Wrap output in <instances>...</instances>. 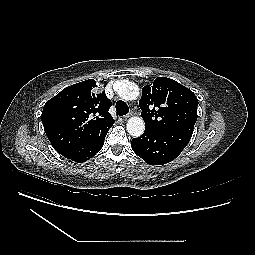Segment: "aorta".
Returning <instances> with one entry per match:
<instances>
[{
    "label": "aorta",
    "instance_id": "1",
    "mask_svg": "<svg viewBox=\"0 0 255 255\" xmlns=\"http://www.w3.org/2000/svg\"><path fill=\"white\" fill-rule=\"evenodd\" d=\"M116 91L124 100H135L139 96V87L128 80L118 82ZM126 128L131 136L139 137L145 130V123L141 117L133 116L129 118Z\"/></svg>",
    "mask_w": 255,
    "mask_h": 255
}]
</instances>
